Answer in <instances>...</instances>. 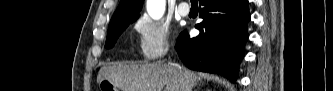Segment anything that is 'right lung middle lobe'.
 Here are the masks:
<instances>
[{
    "mask_svg": "<svg viewBox=\"0 0 333 91\" xmlns=\"http://www.w3.org/2000/svg\"><path fill=\"white\" fill-rule=\"evenodd\" d=\"M137 18L138 17L125 18L110 22L105 47L112 48L120 34L128 27L130 23L134 22Z\"/></svg>",
    "mask_w": 333,
    "mask_h": 91,
    "instance_id": "1",
    "label": "right lung middle lobe"
}]
</instances>
